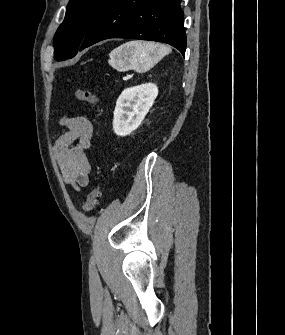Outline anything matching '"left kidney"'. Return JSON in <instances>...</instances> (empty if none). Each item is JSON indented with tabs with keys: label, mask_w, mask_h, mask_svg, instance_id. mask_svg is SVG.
<instances>
[{
	"label": "left kidney",
	"mask_w": 285,
	"mask_h": 335,
	"mask_svg": "<svg viewBox=\"0 0 285 335\" xmlns=\"http://www.w3.org/2000/svg\"><path fill=\"white\" fill-rule=\"evenodd\" d=\"M157 96L158 88L156 84H141V86L123 90L114 110V134L128 136V134L137 130Z\"/></svg>",
	"instance_id": "5707ae66"
}]
</instances>
